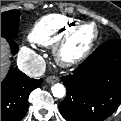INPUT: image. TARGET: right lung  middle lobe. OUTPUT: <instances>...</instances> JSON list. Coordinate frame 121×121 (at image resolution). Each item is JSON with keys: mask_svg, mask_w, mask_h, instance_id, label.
Returning <instances> with one entry per match:
<instances>
[{"mask_svg": "<svg viewBox=\"0 0 121 121\" xmlns=\"http://www.w3.org/2000/svg\"><path fill=\"white\" fill-rule=\"evenodd\" d=\"M20 14L17 10L1 13V37L7 40L17 37Z\"/></svg>", "mask_w": 121, "mask_h": 121, "instance_id": "right-lung-middle-lobe-1", "label": "right lung middle lobe"}]
</instances>
